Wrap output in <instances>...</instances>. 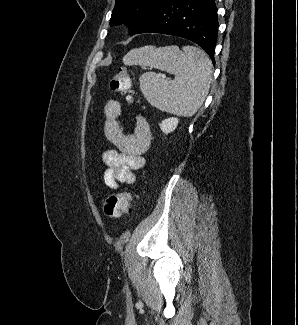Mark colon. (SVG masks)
Masks as SVG:
<instances>
[{
  "label": "colon",
  "mask_w": 298,
  "mask_h": 325,
  "mask_svg": "<svg viewBox=\"0 0 298 325\" xmlns=\"http://www.w3.org/2000/svg\"><path fill=\"white\" fill-rule=\"evenodd\" d=\"M110 88L113 92L126 95L128 102L132 101L131 81L126 69H120L111 79ZM133 195L130 192H120L109 195L103 205L105 215L111 219H117L130 210Z\"/></svg>",
  "instance_id": "colon-1"
}]
</instances>
